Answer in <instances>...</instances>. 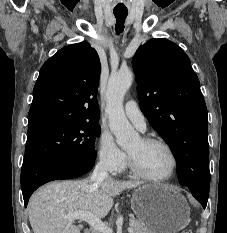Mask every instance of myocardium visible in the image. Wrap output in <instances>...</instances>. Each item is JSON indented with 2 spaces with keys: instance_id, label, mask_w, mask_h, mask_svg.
<instances>
[{
  "instance_id": "1",
  "label": "myocardium",
  "mask_w": 227,
  "mask_h": 233,
  "mask_svg": "<svg viewBox=\"0 0 227 233\" xmlns=\"http://www.w3.org/2000/svg\"><path fill=\"white\" fill-rule=\"evenodd\" d=\"M141 140L145 144H158V145L163 146L169 152L171 156L172 168L170 172L165 176L158 177V176L149 175L138 166V164L135 162L131 154L128 153V164H129V167L132 173L141 179H144L147 181H153V182H162V181H167L171 179L176 174V171L178 168V158L172 146L165 140L161 138H157V137L145 136V137H142Z\"/></svg>"
}]
</instances>
